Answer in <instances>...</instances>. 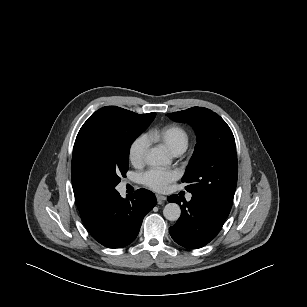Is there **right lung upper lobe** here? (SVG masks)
I'll return each instance as SVG.
<instances>
[{
  "label": "right lung upper lobe",
  "mask_w": 307,
  "mask_h": 307,
  "mask_svg": "<svg viewBox=\"0 0 307 307\" xmlns=\"http://www.w3.org/2000/svg\"><path fill=\"white\" fill-rule=\"evenodd\" d=\"M104 108H114V109H119L123 111H128V110H125V109H122L116 106H107ZM128 112H131V111H128ZM73 191H74L76 204H77V207L81 215V219L83 223H87L90 221L95 211L106 200L107 197H96V196L90 195L86 193L85 191H83L82 189H80L76 184H73Z\"/></svg>",
  "instance_id": "1"
}]
</instances>
